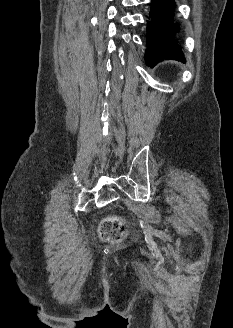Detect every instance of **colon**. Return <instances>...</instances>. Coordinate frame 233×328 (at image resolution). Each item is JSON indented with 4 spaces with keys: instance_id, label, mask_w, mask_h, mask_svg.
Returning <instances> with one entry per match:
<instances>
[{
    "instance_id": "colon-1",
    "label": "colon",
    "mask_w": 233,
    "mask_h": 328,
    "mask_svg": "<svg viewBox=\"0 0 233 328\" xmlns=\"http://www.w3.org/2000/svg\"><path fill=\"white\" fill-rule=\"evenodd\" d=\"M100 233L104 240H116L126 233V227L120 218L107 217L100 225Z\"/></svg>"
}]
</instances>
